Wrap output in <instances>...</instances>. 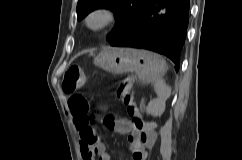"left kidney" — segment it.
Segmentation results:
<instances>
[{
	"instance_id": "1",
	"label": "left kidney",
	"mask_w": 242,
	"mask_h": 160,
	"mask_svg": "<svg viewBox=\"0 0 242 160\" xmlns=\"http://www.w3.org/2000/svg\"><path fill=\"white\" fill-rule=\"evenodd\" d=\"M165 99L166 98L161 99L159 103H157L158 100L151 101L150 104H149L150 113H155V107L158 104L160 105L158 113H162L165 109Z\"/></svg>"
}]
</instances>
